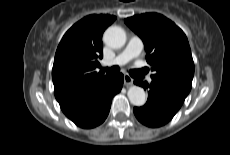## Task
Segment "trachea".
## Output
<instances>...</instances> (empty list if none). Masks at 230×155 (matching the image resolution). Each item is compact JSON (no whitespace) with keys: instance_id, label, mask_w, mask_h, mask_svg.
I'll return each instance as SVG.
<instances>
[{"instance_id":"trachea-1","label":"trachea","mask_w":230,"mask_h":155,"mask_svg":"<svg viewBox=\"0 0 230 155\" xmlns=\"http://www.w3.org/2000/svg\"><path fill=\"white\" fill-rule=\"evenodd\" d=\"M104 71H111V73H118L120 71V68L118 66H112L110 68L106 67L103 68ZM139 73V71L132 70L130 71L131 76H136Z\"/></svg>"}]
</instances>
